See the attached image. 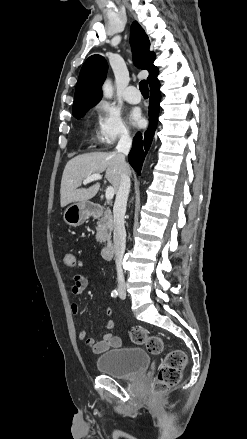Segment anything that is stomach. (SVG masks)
Here are the masks:
<instances>
[{
    "mask_svg": "<svg viewBox=\"0 0 247 439\" xmlns=\"http://www.w3.org/2000/svg\"><path fill=\"white\" fill-rule=\"evenodd\" d=\"M90 211L86 202L70 205L63 214L64 221L70 226H80L89 217Z\"/></svg>",
    "mask_w": 247,
    "mask_h": 439,
    "instance_id": "0dacf381",
    "label": "stomach"
}]
</instances>
